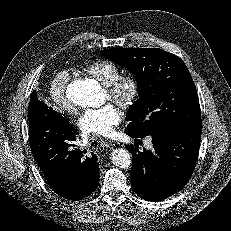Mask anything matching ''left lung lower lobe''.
Wrapping results in <instances>:
<instances>
[{
  "mask_svg": "<svg viewBox=\"0 0 231 231\" xmlns=\"http://www.w3.org/2000/svg\"><path fill=\"white\" fill-rule=\"evenodd\" d=\"M201 127L173 134H152L153 149L138 151L128 145L133 164L130 173L134 192L147 201H160L179 192L196 166ZM132 138H143L127 132Z\"/></svg>",
  "mask_w": 231,
  "mask_h": 231,
  "instance_id": "0a47b994",
  "label": "left lung lower lobe"
}]
</instances>
